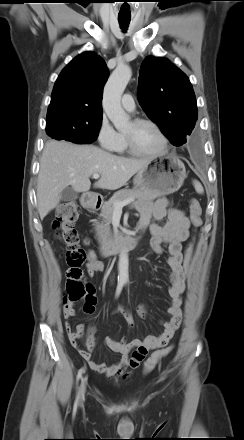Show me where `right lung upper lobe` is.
Listing matches in <instances>:
<instances>
[{
  "instance_id": "cb5924a9",
  "label": "right lung upper lobe",
  "mask_w": 244,
  "mask_h": 440,
  "mask_svg": "<svg viewBox=\"0 0 244 440\" xmlns=\"http://www.w3.org/2000/svg\"><path fill=\"white\" fill-rule=\"evenodd\" d=\"M108 75L105 61L96 53L75 57L57 78L46 121H102V93Z\"/></svg>"
}]
</instances>
